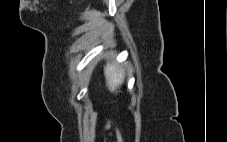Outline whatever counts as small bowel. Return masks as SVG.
Segmentation results:
<instances>
[{"label":"small bowel","instance_id":"1","mask_svg":"<svg viewBox=\"0 0 227 142\" xmlns=\"http://www.w3.org/2000/svg\"><path fill=\"white\" fill-rule=\"evenodd\" d=\"M104 126H105L106 128H109V127H110L108 122H106Z\"/></svg>","mask_w":227,"mask_h":142}]
</instances>
